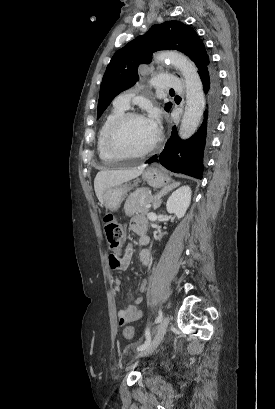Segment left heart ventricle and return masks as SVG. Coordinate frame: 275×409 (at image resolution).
<instances>
[{"instance_id":"b2bd125f","label":"left heart ventricle","mask_w":275,"mask_h":409,"mask_svg":"<svg viewBox=\"0 0 275 409\" xmlns=\"http://www.w3.org/2000/svg\"><path fill=\"white\" fill-rule=\"evenodd\" d=\"M155 135L149 121L137 119L127 122L118 132L115 147L119 151H134L146 147Z\"/></svg>"}]
</instances>
